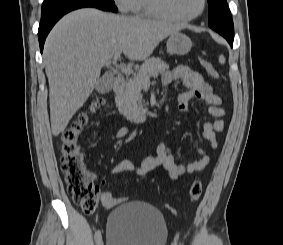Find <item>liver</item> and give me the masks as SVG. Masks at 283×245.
Returning a JSON list of instances; mask_svg holds the SVG:
<instances>
[{
	"label": "liver",
	"instance_id": "6515ba94",
	"mask_svg": "<svg viewBox=\"0 0 283 245\" xmlns=\"http://www.w3.org/2000/svg\"><path fill=\"white\" fill-rule=\"evenodd\" d=\"M179 29L166 22L91 8L65 15L49 33L43 52L52 134L64 132L73 115L97 90L102 66L117 53L123 52L133 61L145 60L163 39Z\"/></svg>",
	"mask_w": 283,
	"mask_h": 245
}]
</instances>
